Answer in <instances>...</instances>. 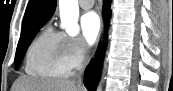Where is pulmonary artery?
<instances>
[{"label":"pulmonary artery","mask_w":173,"mask_h":91,"mask_svg":"<svg viewBox=\"0 0 173 91\" xmlns=\"http://www.w3.org/2000/svg\"><path fill=\"white\" fill-rule=\"evenodd\" d=\"M79 5L83 9H90L94 5V0H80Z\"/></svg>","instance_id":"obj_1"}]
</instances>
